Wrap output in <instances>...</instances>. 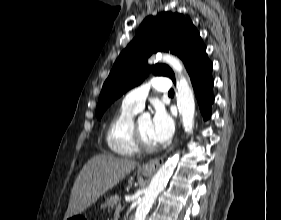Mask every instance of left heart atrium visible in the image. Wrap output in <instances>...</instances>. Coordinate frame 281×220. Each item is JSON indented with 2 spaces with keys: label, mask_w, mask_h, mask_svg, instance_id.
<instances>
[{
  "label": "left heart atrium",
  "mask_w": 281,
  "mask_h": 220,
  "mask_svg": "<svg viewBox=\"0 0 281 220\" xmlns=\"http://www.w3.org/2000/svg\"><path fill=\"white\" fill-rule=\"evenodd\" d=\"M174 133V122L162 108H158L151 121V136L156 144L166 143Z\"/></svg>",
  "instance_id": "1"
}]
</instances>
